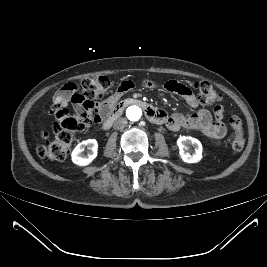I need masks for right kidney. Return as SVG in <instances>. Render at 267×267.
Wrapping results in <instances>:
<instances>
[{
	"mask_svg": "<svg viewBox=\"0 0 267 267\" xmlns=\"http://www.w3.org/2000/svg\"><path fill=\"white\" fill-rule=\"evenodd\" d=\"M86 149L87 155L83 152ZM98 143L95 139H88L79 143L72 151L71 157L73 163L86 166L90 164L97 156Z\"/></svg>",
	"mask_w": 267,
	"mask_h": 267,
	"instance_id": "ca27d5eb",
	"label": "right kidney"
}]
</instances>
